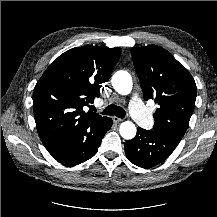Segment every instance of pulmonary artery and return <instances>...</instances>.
Segmentation results:
<instances>
[{
  "mask_svg": "<svg viewBox=\"0 0 217 217\" xmlns=\"http://www.w3.org/2000/svg\"><path fill=\"white\" fill-rule=\"evenodd\" d=\"M130 114L142 125L147 126L150 123L147 108L143 105L139 95L135 94L130 101Z\"/></svg>",
  "mask_w": 217,
  "mask_h": 217,
  "instance_id": "e3ab8cb5",
  "label": "pulmonary artery"
}]
</instances>
